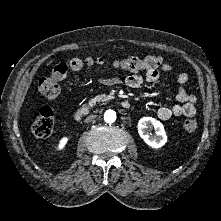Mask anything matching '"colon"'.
<instances>
[{"label": "colon", "instance_id": "5ec220e1", "mask_svg": "<svg viewBox=\"0 0 221 221\" xmlns=\"http://www.w3.org/2000/svg\"><path fill=\"white\" fill-rule=\"evenodd\" d=\"M86 65L103 66L111 64L114 68L138 72L155 70L158 71L164 67L163 59L157 55L147 57L130 56L124 59H115L111 62L104 58H87L84 61L79 58L71 59L68 63H59L55 65L49 75L42 77L38 83L40 93L49 99L56 98L60 93V82L67 76L68 70L79 71ZM54 115L51 109L44 107L41 109L38 117L33 123V133L40 138H46L53 133ZM181 129L185 134H193L197 129V122L193 118H186L181 122Z\"/></svg>", "mask_w": 221, "mask_h": 221}]
</instances>
